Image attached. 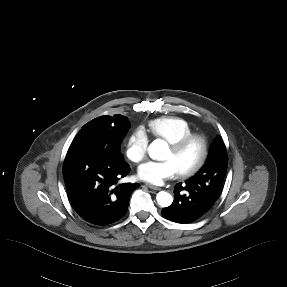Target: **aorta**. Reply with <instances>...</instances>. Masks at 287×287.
I'll return each instance as SVG.
<instances>
[{
	"label": "aorta",
	"mask_w": 287,
	"mask_h": 287,
	"mask_svg": "<svg viewBox=\"0 0 287 287\" xmlns=\"http://www.w3.org/2000/svg\"><path fill=\"white\" fill-rule=\"evenodd\" d=\"M167 143L161 139L154 140L148 147L149 156L153 160H161L162 153L167 150ZM157 203L161 207H168L172 204L173 198L172 195L165 191H160L157 196Z\"/></svg>",
	"instance_id": "aorta-1"
}]
</instances>
